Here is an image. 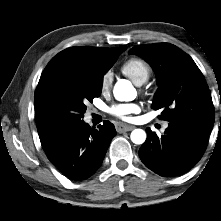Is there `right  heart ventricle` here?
I'll return each mask as SVG.
<instances>
[{"label": "right heart ventricle", "mask_w": 221, "mask_h": 221, "mask_svg": "<svg viewBox=\"0 0 221 221\" xmlns=\"http://www.w3.org/2000/svg\"><path fill=\"white\" fill-rule=\"evenodd\" d=\"M124 75L129 77L135 84L141 85L146 82L151 75L150 65L139 58L127 60L121 68Z\"/></svg>", "instance_id": "right-heart-ventricle-1"}]
</instances>
